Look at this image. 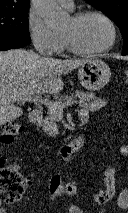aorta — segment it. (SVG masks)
Here are the masks:
<instances>
[{"label":"aorta","instance_id":"1","mask_svg":"<svg viewBox=\"0 0 128 213\" xmlns=\"http://www.w3.org/2000/svg\"><path fill=\"white\" fill-rule=\"evenodd\" d=\"M33 3L49 26L58 27L65 21L67 13L55 0H33Z\"/></svg>","mask_w":128,"mask_h":213}]
</instances>
